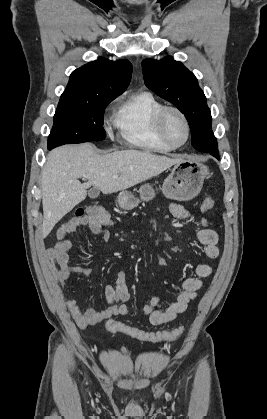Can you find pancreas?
Returning <instances> with one entry per match:
<instances>
[{
    "mask_svg": "<svg viewBox=\"0 0 267 419\" xmlns=\"http://www.w3.org/2000/svg\"><path fill=\"white\" fill-rule=\"evenodd\" d=\"M138 203H139V200L137 199V200H136V205H137Z\"/></svg>",
    "mask_w": 267,
    "mask_h": 419,
    "instance_id": "obj_1",
    "label": "pancreas"
}]
</instances>
